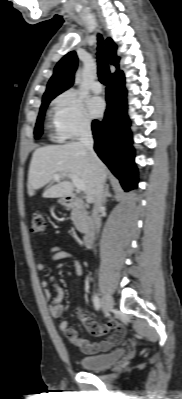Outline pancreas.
I'll use <instances>...</instances> for the list:
<instances>
[{
  "instance_id": "1",
  "label": "pancreas",
  "mask_w": 182,
  "mask_h": 399,
  "mask_svg": "<svg viewBox=\"0 0 182 399\" xmlns=\"http://www.w3.org/2000/svg\"><path fill=\"white\" fill-rule=\"evenodd\" d=\"M71 219L76 226V229L80 233L86 232L87 218L84 215L83 211L79 210L77 207H74L71 213Z\"/></svg>"
}]
</instances>
